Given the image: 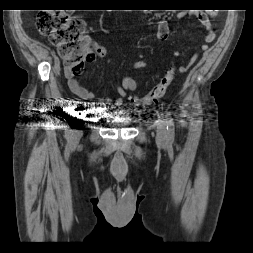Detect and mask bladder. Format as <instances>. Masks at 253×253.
I'll return each mask as SVG.
<instances>
[{
  "mask_svg": "<svg viewBox=\"0 0 253 253\" xmlns=\"http://www.w3.org/2000/svg\"><path fill=\"white\" fill-rule=\"evenodd\" d=\"M107 121L116 126H128L133 121L125 111H109L106 113Z\"/></svg>",
  "mask_w": 253,
  "mask_h": 253,
  "instance_id": "obj_1",
  "label": "bladder"
}]
</instances>
